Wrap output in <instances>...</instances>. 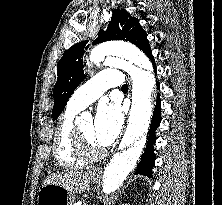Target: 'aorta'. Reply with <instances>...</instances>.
I'll use <instances>...</instances> for the list:
<instances>
[{
  "label": "aorta",
  "instance_id": "obj_1",
  "mask_svg": "<svg viewBox=\"0 0 222 205\" xmlns=\"http://www.w3.org/2000/svg\"><path fill=\"white\" fill-rule=\"evenodd\" d=\"M99 51L105 56L103 65L123 68L133 79L130 122L118 151L104 169L100 183L101 195L110 196L121 188L144 152L157 89L151 62L134 45L112 42L102 45ZM82 117L91 118V114L84 112Z\"/></svg>",
  "mask_w": 222,
  "mask_h": 205
}]
</instances>
